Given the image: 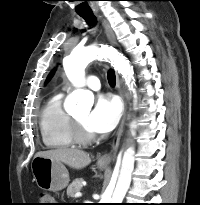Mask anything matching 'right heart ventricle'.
Here are the masks:
<instances>
[{"mask_svg": "<svg viewBox=\"0 0 200 205\" xmlns=\"http://www.w3.org/2000/svg\"><path fill=\"white\" fill-rule=\"evenodd\" d=\"M62 97V93L50 97L39 116L42 141L46 147L51 149L69 148L74 144L70 116L62 107Z\"/></svg>", "mask_w": 200, "mask_h": 205, "instance_id": "1", "label": "right heart ventricle"}]
</instances>
